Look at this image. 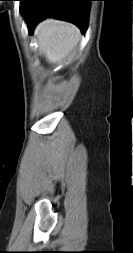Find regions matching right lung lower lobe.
<instances>
[{
  "label": "right lung lower lobe",
  "instance_id": "right-lung-lower-lobe-1",
  "mask_svg": "<svg viewBox=\"0 0 133 253\" xmlns=\"http://www.w3.org/2000/svg\"><path fill=\"white\" fill-rule=\"evenodd\" d=\"M92 0H29L23 13L28 30L47 17H54L77 25L84 34L88 24Z\"/></svg>",
  "mask_w": 133,
  "mask_h": 253
}]
</instances>
